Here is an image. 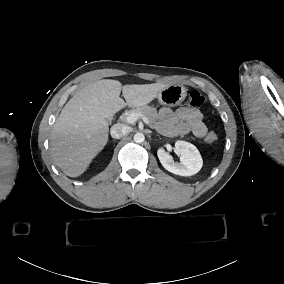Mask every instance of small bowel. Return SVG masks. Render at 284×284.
<instances>
[{
  "instance_id": "1",
  "label": "small bowel",
  "mask_w": 284,
  "mask_h": 284,
  "mask_svg": "<svg viewBox=\"0 0 284 284\" xmlns=\"http://www.w3.org/2000/svg\"><path fill=\"white\" fill-rule=\"evenodd\" d=\"M160 130L170 137L192 133L204 137L207 133L203 114L195 108L180 107L172 110L163 107L159 110Z\"/></svg>"
}]
</instances>
